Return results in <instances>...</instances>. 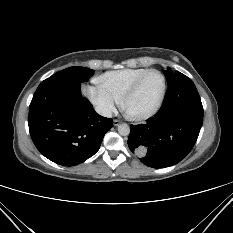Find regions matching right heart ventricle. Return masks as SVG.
I'll return each mask as SVG.
<instances>
[{"mask_svg":"<svg viewBox=\"0 0 233 233\" xmlns=\"http://www.w3.org/2000/svg\"><path fill=\"white\" fill-rule=\"evenodd\" d=\"M148 68H126L106 72L96 78V83L106 89L118 100L133 82Z\"/></svg>","mask_w":233,"mask_h":233,"instance_id":"right-heart-ventricle-1","label":"right heart ventricle"}]
</instances>
